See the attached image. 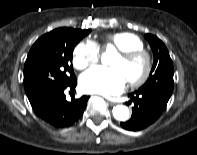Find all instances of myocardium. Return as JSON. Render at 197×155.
Masks as SVG:
<instances>
[{
	"mask_svg": "<svg viewBox=\"0 0 197 155\" xmlns=\"http://www.w3.org/2000/svg\"><path fill=\"white\" fill-rule=\"evenodd\" d=\"M124 60H134L142 59L144 61V71L140 77L129 80L128 85L132 88H137L144 85L151 76L152 73V57L150 53L141 48V49H130V50H121L119 54Z\"/></svg>",
	"mask_w": 197,
	"mask_h": 155,
	"instance_id": "1",
	"label": "myocardium"
}]
</instances>
